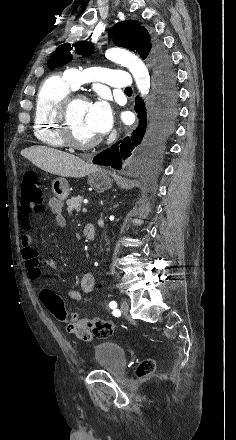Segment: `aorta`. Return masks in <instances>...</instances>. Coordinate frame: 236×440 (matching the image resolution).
I'll return each instance as SVG.
<instances>
[{
    "mask_svg": "<svg viewBox=\"0 0 236 440\" xmlns=\"http://www.w3.org/2000/svg\"><path fill=\"white\" fill-rule=\"evenodd\" d=\"M106 57L118 64H121L129 69L133 75L137 88L142 96L149 93L150 89V75L147 67L135 54L122 49L110 48L106 52Z\"/></svg>",
    "mask_w": 236,
    "mask_h": 440,
    "instance_id": "762f6f07",
    "label": "aorta"
}]
</instances>
